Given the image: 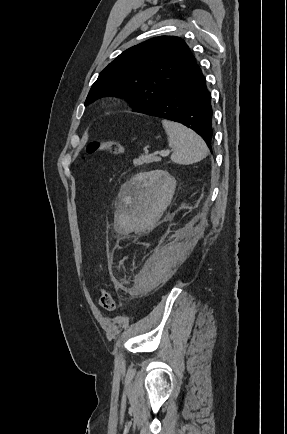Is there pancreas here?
<instances>
[{"mask_svg": "<svg viewBox=\"0 0 287 434\" xmlns=\"http://www.w3.org/2000/svg\"><path fill=\"white\" fill-rule=\"evenodd\" d=\"M160 159L158 157L152 156V155H141L138 158H135L133 160V163L135 166H141L144 164H149L153 162H158Z\"/></svg>", "mask_w": 287, "mask_h": 434, "instance_id": "pancreas-1", "label": "pancreas"}]
</instances>
